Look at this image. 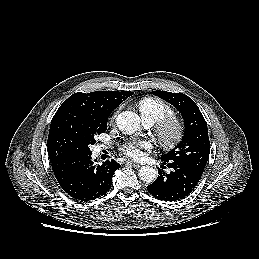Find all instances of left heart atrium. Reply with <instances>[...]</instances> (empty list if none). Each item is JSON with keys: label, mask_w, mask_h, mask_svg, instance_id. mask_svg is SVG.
<instances>
[{"label": "left heart atrium", "mask_w": 259, "mask_h": 259, "mask_svg": "<svg viewBox=\"0 0 259 259\" xmlns=\"http://www.w3.org/2000/svg\"><path fill=\"white\" fill-rule=\"evenodd\" d=\"M149 146L147 141H131L122 147V152L132 159H140L143 156L142 149H147Z\"/></svg>", "instance_id": "39dd6f15"}]
</instances>
